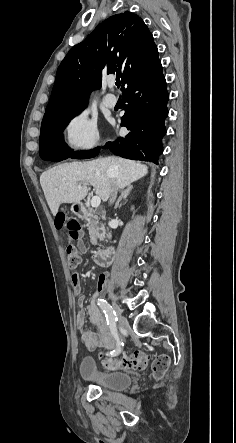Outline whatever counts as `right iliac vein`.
Returning <instances> with one entry per match:
<instances>
[{
	"instance_id": "obj_1",
	"label": "right iliac vein",
	"mask_w": 236,
	"mask_h": 443,
	"mask_svg": "<svg viewBox=\"0 0 236 443\" xmlns=\"http://www.w3.org/2000/svg\"><path fill=\"white\" fill-rule=\"evenodd\" d=\"M118 322H119V325L122 327H124L127 324V320L123 316H119Z\"/></svg>"
}]
</instances>
